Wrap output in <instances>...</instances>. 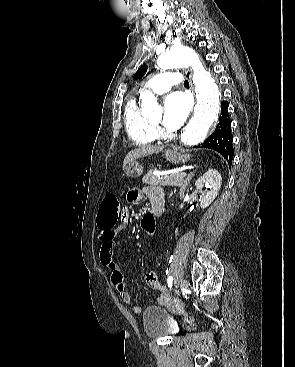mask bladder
I'll list each match as a JSON object with an SVG mask.
<instances>
[{
	"mask_svg": "<svg viewBox=\"0 0 295 367\" xmlns=\"http://www.w3.org/2000/svg\"><path fill=\"white\" fill-rule=\"evenodd\" d=\"M142 323L145 334L150 338L174 336L178 326L168 312L159 306H149L142 314Z\"/></svg>",
	"mask_w": 295,
	"mask_h": 367,
	"instance_id": "31cf9c89",
	"label": "bladder"
}]
</instances>
